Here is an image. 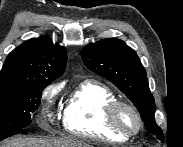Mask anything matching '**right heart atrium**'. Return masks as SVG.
I'll use <instances>...</instances> for the list:
<instances>
[{
  "label": "right heart atrium",
  "mask_w": 183,
  "mask_h": 147,
  "mask_svg": "<svg viewBox=\"0 0 183 147\" xmlns=\"http://www.w3.org/2000/svg\"><path fill=\"white\" fill-rule=\"evenodd\" d=\"M58 92H59V87L57 85H51L43 91L42 100L44 104L39 112V115L42 119L48 120L50 122L54 121L56 112L53 109V105Z\"/></svg>",
  "instance_id": "1"
}]
</instances>
